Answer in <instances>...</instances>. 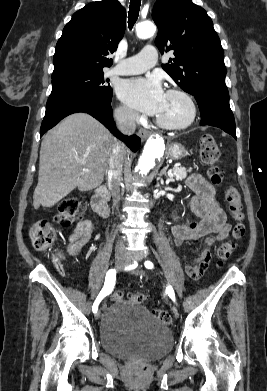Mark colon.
<instances>
[{
	"mask_svg": "<svg viewBox=\"0 0 267 391\" xmlns=\"http://www.w3.org/2000/svg\"><path fill=\"white\" fill-rule=\"evenodd\" d=\"M219 146L211 135H203L200 140V158L202 162L209 167L208 174L213 184L218 185L223 180V174L216 165L219 158ZM225 200L229 211L235 221L238 223L234 226L232 236L234 239H240L245 235L246 228L241 221L244 219L242 210V201L239 191L230 186L225 191ZM81 215V203L75 198L63 200L57 207L54 217L56 223L63 227H69L77 221ZM55 230L52 224L47 220H40L34 223L30 229V238L33 247L36 250L44 251L49 249L55 241ZM234 245L231 242L222 243L217 249V256L220 261L229 259L233 253ZM53 262L57 267H60V259L58 256L53 257ZM113 301L123 299V294L115 291L111 295ZM127 299L141 304L145 301L146 296L142 292H130L127 294ZM152 314L165 325H169L172 321L170 314L167 311L153 309Z\"/></svg>",
	"mask_w": 267,
	"mask_h": 391,
	"instance_id": "5ec220e1",
	"label": "colon"
}]
</instances>
